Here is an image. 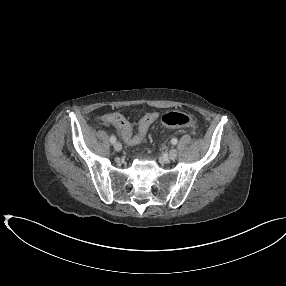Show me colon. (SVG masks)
Wrapping results in <instances>:
<instances>
[{
	"mask_svg": "<svg viewBox=\"0 0 286 286\" xmlns=\"http://www.w3.org/2000/svg\"><path fill=\"white\" fill-rule=\"evenodd\" d=\"M161 123L170 128L192 127L194 124L193 118L183 112H169L161 117ZM148 121H143L138 126L137 133L134 135V142L136 144L142 142L148 131Z\"/></svg>",
	"mask_w": 286,
	"mask_h": 286,
	"instance_id": "colon-1",
	"label": "colon"
}]
</instances>
